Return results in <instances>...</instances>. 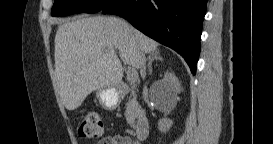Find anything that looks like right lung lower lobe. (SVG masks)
<instances>
[{
    "label": "right lung lower lobe",
    "mask_w": 273,
    "mask_h": 144,
    "mask_svg": "<svg viewBox=\"0 0 273 144\" xmlns=\"http://www.w3.org/2000/svg\"><path fill=\"white\" fill-rule=\"evenodd\" d=\"M207 0H111L103 9L177 51L193 75L200 53Z\"/></svg>",
    "instance_id": "98d812e1"
}]
</instances>
